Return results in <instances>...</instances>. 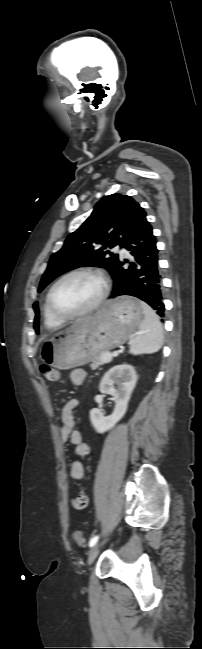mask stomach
I'll list each match as a JSON object with an SVG mask.
<instances>
[{
	"label": "stomach",
	"instance_id": "stomach-1",
	"mask_svg": "<svg viewBox=\"0 0 202 649\" xmlns=\"http://www.w3.org/2000/svg\"><path fill=\"white\" fill-rule=\"evenodd\" d=\"M142 321L141 301L131 297L113 299L96 315L84 317L45 340L40 359L60 370L87 364L101 351L126 342Z\"/></svg>",
	"mask_w": 202,
	"mask_h": 649
}]
</instances>
